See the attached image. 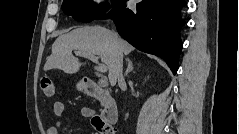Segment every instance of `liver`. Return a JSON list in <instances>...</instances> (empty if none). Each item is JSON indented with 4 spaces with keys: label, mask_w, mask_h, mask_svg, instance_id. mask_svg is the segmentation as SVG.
Returning a JSON list of instances; mask_svg holds the SVG:
<instances>
[{
    "label": "liver",
    "mask_w": 239,
    "mask_h": 134,
    "mask_svg": "<svg viewBox=\"0 0 239 134\" xmlns=\"http://www.w3.org/2000/svg\"><path fill=\"white\" fill-rule=\"evenodd\" d=\"M73 50L100 56L101 61L108 67L110 84L114 86L117 80L114 72L116 51L128 55L134 48L102 26H84L60 35L55 40L44 70L60 69L68 74L78 72L83 63L72 55Z\"/></svg>",
    "instance_id": "6515ba94"
}]
</instances>
